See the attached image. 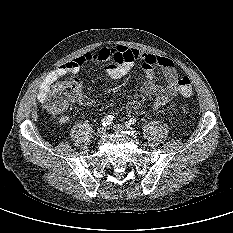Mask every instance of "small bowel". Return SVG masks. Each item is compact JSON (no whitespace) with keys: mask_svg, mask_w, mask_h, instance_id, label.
<instances>
[{"mask_svg":"<svg viewBox=\"0 0 233 233\" xmlns=\"http://www.w3.org/2000/svg\"><path fill=\"white\" fill-rule=\"evenodd\" d=\"M137 61L141 63L146 75L143 92L147 96L155 98L153 109H157L173 100L179 91V77L173 61L166 57L142 52L122 45L114 48L102 47L95 52H86L67 61L54 71L53 78L56 79L66 74H75L83 65L90 62H108L106 68L107 74L110 78L119 80L131 70ZM155 68L161 70L164 84H158L156 82ZM55 86H52L51 83L44 84L38 94L39 101L48 106L49 97ZM75 102L82 106H94L97 103L96 100L81 93ZM129 104L133 109H139L141 107V103L137 99L130 100ZM59 121L61 123H67L69 116L61 115L59 116Z\"/></svg>","mask_w":233,"mask_h":233,"instance_id":"1","label":"small bowel"}]
</instances>
